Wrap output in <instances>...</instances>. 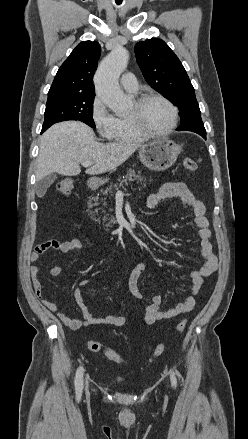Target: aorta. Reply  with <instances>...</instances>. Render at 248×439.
Instances as JSON below:
<instances>
[{
	"instance_id": "obj_1",
	"label": "aorta",
	"mask_w": 248,
	"mask_h": 439,
	"mask_svg": "<svg viewBox=\"0 0 248 439\" xmlns=\"http://www.w3.org/2000/svg\"><path fill=\"white\" fill-rule=\"evenodd\" d=\"M128 59L129 54L124 47H115L100 63L94 77L97 96L116 114L127 111L131 106V99L124 94L118 83Z\"/></svg>"
}]
</instances>
